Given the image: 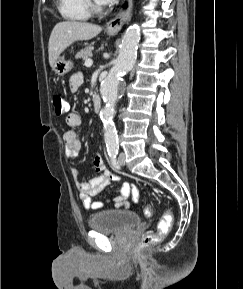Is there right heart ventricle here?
Segmentation results:
<instances>
[{
	"instance_id": "e07e8e85",
	"label": "right heart ventricle",
	"mask_w": 243,
	"mask_h": 289,
	"mask_svg": "<svg viewBox=\"0 0 243 289\" xmlns=\"http://www.w3.org/2000/svg\"><path fill=\"white\" fill-rule=\"evenodd\" d=\"M57 8L61 16L71 21H85L90 17L86 0H58Z\"/></svg>"
}]
</instances>
